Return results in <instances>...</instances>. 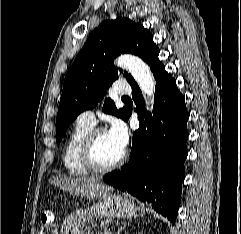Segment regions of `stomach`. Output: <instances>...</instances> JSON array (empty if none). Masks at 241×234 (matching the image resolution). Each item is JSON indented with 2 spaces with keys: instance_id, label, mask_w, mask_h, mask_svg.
<instances>
[{
  "instance_id": "obj_1",
  "label": "stomach",
  "mask_w": 241,
  "mask_h": 234,
  "mask_svg": "<svg viewBox=\"0 0 241 234\" xmlns=\"http://www.w3.org/2000/svg\"><path fill=\"white\" fill-rule=\"evenodd\" d=\"M137 212L135 204L119 195L106 193L98 201L79 209L64 219L62 234H85L84 224L93 216L100 218H132Z\"/></svg>"
}]
</instances>
